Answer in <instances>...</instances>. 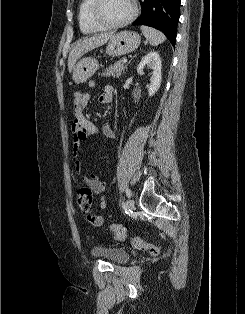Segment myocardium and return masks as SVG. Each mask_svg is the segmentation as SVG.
Instances as JSON below:
<instances>
[{
  "mask_svg": "<svg viewBox=\"0 0 245 314\" xmlns=\"http://www.w3.org/2000/svg\"><path fill=\"white\" fill-rule=\"evenodd\" d=\"M130 1L132 4V11L130 15L122 21H119L116 23H109V22L104 21L100 16L99 11H100V5H101L102 0H94L92 9H91L92 18L99 26L103 27L104 29H117V28L124 27L128 25L129 23H131L138 14V5H137L136 0H130Z\"/></svg>",
  "mask_w": 245,
  "mask_h": 314,
  "instance_id": "myocardium-1",
  "label": "myocardium"
}]
</instances>
